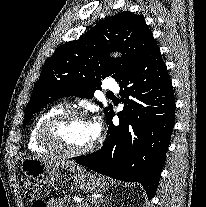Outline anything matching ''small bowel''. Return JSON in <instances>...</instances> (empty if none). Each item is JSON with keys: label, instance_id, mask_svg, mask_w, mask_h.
I'll list each match as a JSON object with an SVG mask.
<instances>
[{"label": "small bowel", "instance_id": "1", "mask_svg": "<svg viewBox=\"0 0 206 207\" xmlns=\"http://www.w3.org/2000/svg\"><path fill=\"white\" fill-rule=\"evenodd\" d=\"M66 199H57L50 201L48 207H66Z\"/></svg>", "mask_w": 206, "mask_h": 207}]
</instances>
